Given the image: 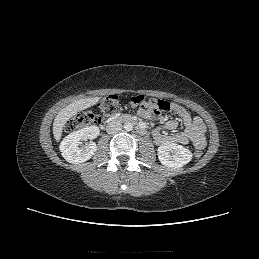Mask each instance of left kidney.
Masks as SVG:
<instances>
[{"mask_svg": "<svg viewBox=\"0 0 259 259\" xmlns=\"http://www.w3.org/2000/svg\"><path fill=\"white\" fill-rule=\"evenodd\" d=\"M159 161L169 168H180L189 163L192 153L182 145L175 143H164L158 147Z\"/></svg>", "mask_w": 259, "mask_h": 259, "instance_id": "left-kidney-1", "label": "left kidney"}]
</instances>
